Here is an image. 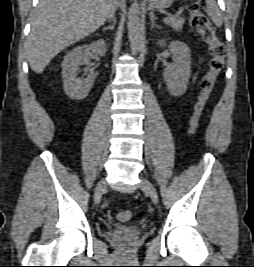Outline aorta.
I'll list each match as a JSON object with an SVG mask.
<instances>
[{
  "label": "aorta",
  "instance_id": "762f6f07",
  "mask_svg": "<svg viewBox=\"0 0 254 267\" xmlns=\"http://www.w3.org/2000/svg\"><path fill=\"white\" fill-rule=\"evenodd\" d=\"M127 29L131 50L136 54L140 51L143 43L140 6L137 0H135L129 8Z\"/></svg>",
  "mask_w": 254,
  "mask_h": 267
}]
</instances>
